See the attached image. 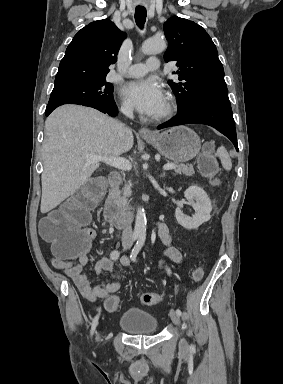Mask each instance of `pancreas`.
Masks as SVG:
<instances>
[{
	"mask_svg": "<svg viewBox=\"0 0 283 384\" xmlns=\"http://www.w3.org/2000/svg\"><path fill=\"white\" fill-rule=\"evenodd\" d=\"M169 164H175L174 170L176 174H185V176H193V174H195L193 166H184V164H178V162H169ZM131 188L132 184L128 182L122 190H119V188H115L114 190L117 202L123 206L124 210H128L127 204L128 198L132 194Z\"/></svg>",
	"mask_w": 283,
	"mask_h": 384,
	"instance_id": "cf45deb5",
	"label": "pancreas"
}]
</instances>
